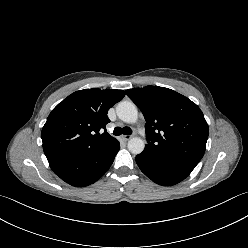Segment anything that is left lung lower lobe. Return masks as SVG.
I'll use <instances>...</instances> for the list:
<instances>
[{"label":"left lung lower lobe","mask_w":248,"mask_h":248,"mask_svg":"<svg viewBox=\"0 0 248 248\" xmlns=\"http://www.w3.org/2000/svg\"><path fill=\"white\" fill-rule=\"evenodd\" d=\"M141 171L159 185L171 186L184 180L194 167L151 156L145 152L136 156Z\"/></svg>","instance_id":"obj_1"}]
</instances>
